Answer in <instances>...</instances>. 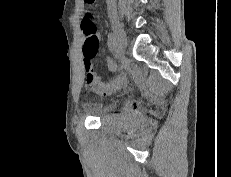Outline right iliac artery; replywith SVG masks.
Instances as JSON below:
<instances>
[{"label": "right iliac artery", "mask_w": 231, "mask_h": 177, "mask_svg": "<svg viewBox=\"0 0 231 177\" xmlns=\"http://www.w3.org/2000/svg\"><path fill=\"white\" fill-rule=\"evenodd\" d=\"M108 47L111 53L115 51V36L113 33L108 35Z\"/></svg>", "instance_id": "right-iliac-artery-1"}]
</instances>
